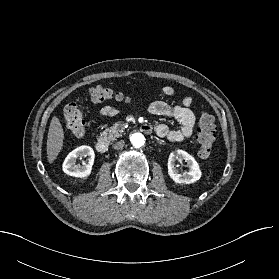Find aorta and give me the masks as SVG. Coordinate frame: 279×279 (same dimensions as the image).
Segmentation results:
<instances>
[{"instance_id":"aorta-1","label":"aorta","mask_w":279,"mask_h":279,"mask_svg":"<svg viewBox=\"0 0 279 279\" xmlns=\"http://www.w3.org/2000/svg\"><path fill=\"white\" fill-rule=\"evenodd\" d=\"M130 141L135 148H140L144 145L145 138L141 133L135 132L131 135Z\"/></svg>"}]
</instances>
